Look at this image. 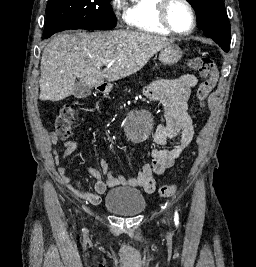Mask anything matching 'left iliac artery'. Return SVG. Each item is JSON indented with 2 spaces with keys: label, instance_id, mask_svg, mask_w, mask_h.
I'll return each instance as SVG.
<instances>
[{
  "label": "left iliac artery",
  "instance_id": "1",
  "mask_svg": "<svg viewBox=\"0 0 256 267\" xmlns=\"http://www.w3.org/2000/svg\"><path fill=\"white\" fill-rule=\"evenodd\" d=\"M179 216H178V213L177 211L175 212V217H174V221H175V224L177 225L179 223Z\"/></svg>",
  "mask_w": 256,
  "mask_h": 267
}]
</instances>
